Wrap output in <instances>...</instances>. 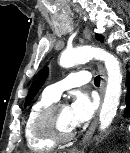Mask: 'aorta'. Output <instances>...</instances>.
<instances>
[{"mask_svg": "<svg viewBox=\"0 0 130 153\" xmlns=\"http://www.w3.org/2000/svg\"><path fill=\"white\" fill-rule=\"evenodd\" d=\"M93 58L104 62L108 75L104 102L99 115L100 129L104 130L110 126L116 115L121 95L122 74L117 58L100 48L80 47L63 52L59 63L64 68H70Z\"/></svg>", "mask_w": 130, "mask_h": 153, "instance_id": "1", "label": "aorta"}]
</instances>
